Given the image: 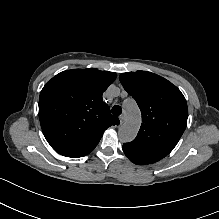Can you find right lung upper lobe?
<instances>
[{
    "label": "right lung upper lobe",
    "mask_w": 219,
    "mask_h": 219,
    "mask_svg": "<svg viewBox=\"0 0 219 219\" xmlns=\"http://www.w3.org/2000/svg\"><path fill=\"white\" fill-rule=\"evenodd\" d=\"M115 79L114 72L89 68L63 71L46 83L39 98V119L56 152L71 158L85 156L109 126L120 123L102 99Z\"/></svg>",
    "instance_id": "right-lung-upper-lobe-1"
}]
</instances>
